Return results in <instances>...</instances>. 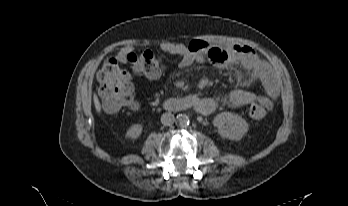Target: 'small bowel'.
<instances>
[{
    "instance_id": "1",
    "label": "small bowel",
    "mask_w": 348,
    "mask_h": 206,
    "mask_svg": "<svg viewBox=\"0 0 348 206\" xmlns=\"http://www.w3.org/2000/svg\"><path fill=\"white\" fill-rule=\"evenodd\" d=\"M158 48L180 58L179 67L188 68L196 62H210L216 67L229 70L231 63H240L251 71L266 87L269 96L276 100L279 95L278 79L272 67L263 61L255 51L245 44L215 46L200 40L189 44L163 42ZM126 52L118 55L121 62H126ZM256 95L248 90L235 89L231 91L226 103L231 106H245L253 103Z\"/></svg>"
}]
</instances>
